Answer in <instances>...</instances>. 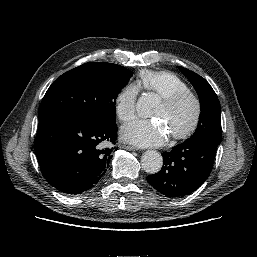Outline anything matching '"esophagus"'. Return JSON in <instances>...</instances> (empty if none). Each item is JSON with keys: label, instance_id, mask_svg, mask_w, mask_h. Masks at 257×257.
I'll return each mask as SVG.
<instances>
[{"label": "esophagus", "instance_id": "34e87169", "mask_svg": "<svg viewBox=\"0 0 257 257\" xmlns=\"http://www.w3.org/2000/svg\"><path fill=\"white\" fill-rule=\"evenodd\" d=\"M123 147L127 150H130V151H136L137 150V148L135 146H132V145H124Z\"/></svg>", "mask_w": 257, "mask_h": 257}]
</instances>
